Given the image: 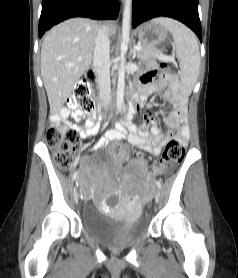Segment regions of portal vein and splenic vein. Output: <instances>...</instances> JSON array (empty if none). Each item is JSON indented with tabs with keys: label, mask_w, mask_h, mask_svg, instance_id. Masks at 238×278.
<instances>
[{
	"label": "portal vein and splenic vein",
	"mask_w": 238,
	"mask_h": 278,
	"mask_svg": "<svg viewBox=\"0 0 238 278\" xmlns=\"http://www.w3.org/2000/svg\"><path fill=\"white\" fill-rule=\"evenodd\" d=\"M135 50L136 51H140L141 50V44H137L135 46ZM162 60H168V61H174V58L173 57H170V56H164L161 58Z\"/></svg>",
	"instance_id": "obj_1"
}]
</instances>
